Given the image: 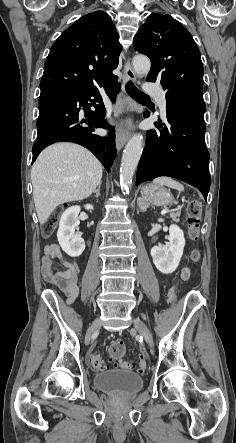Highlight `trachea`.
Segmentation results:
<instances>
[{
	"mask_svg": "<svg viewBox=\"0 0 236 443\" xmlns=\"http://www.w3.org/2000/svg\"><path fill=\"white\" fill-rule=\"evenodd\" d=\"M126 91L133 99L138 102H145L150 100L149 96L137 89L131 81L126 84Z\"/></svg>",
	"mask_w": 236,
	"mask_h": 443,
	"instance_id": "obj_1",
	"label": "trachea"
}]
</instances>
